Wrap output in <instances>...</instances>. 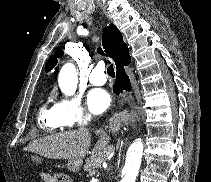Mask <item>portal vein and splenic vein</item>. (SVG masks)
Returning <instances> with one entry per match:
<instances>
[{
  "label": "portal vein and splenic vein",
  "mask_w": 211,
  "mask_h": 182,
  "mask_svg": "<svg viewBox=\"0 0 211 182\" xmlns=\"http://www.w3.org/2000/svg\"><path fill=\"white\" fill-rule=\"evenodd\" d=\"M94 174H95V171H92V172H91V175H94Z\"/></svg>",
  "instance_id": "portal-vein-and-splenic-vein-1"
}]
</instances>
